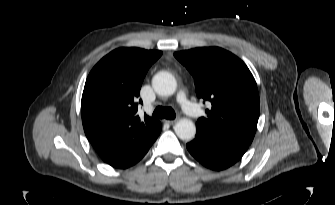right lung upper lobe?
<instances>
[{"label": "right lung upper lobe", "instance_id": "1", "mask_svg": "<svg viewBox=\"0 0 335 205\" xmlns=\"http://www.w3.org/2000/svg\"><path fill=\"white\" fill-rule=\"evenodd\" d=\"M158 50L119 48L103 57L87 77L81 110L85 134L108 164L125 162L147 151L162 129L146 114L137 115L138 97Z\"/></svg>", "mask_w": 335, "mask_h": 205}]
</instances>
